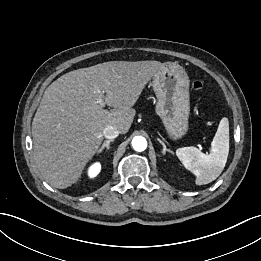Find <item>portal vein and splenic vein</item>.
Masks as SVG:
<instances>
[{
	"label": "portal vein and splenic vein",
	"mask_w": 261,
	"mask_h": 261,
	"mask_svg": "<svg viewBox=\"0 0 261 261\" xmlns=\"http://www.w3.org/2000/svg\"><path fill=\"white\" fill-rule=\"evenodd\" d=\"M96 94H97V103L99 104L100 107H104L105 106V102H104V91L97 89L96 90Z\"/></svg>",
	"instance_id": "1"
}]
</instances>
